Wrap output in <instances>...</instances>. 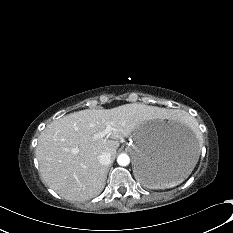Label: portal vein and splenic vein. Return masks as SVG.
Returning <instances> with one entry per match:
<instances>
[{"instance_id":"portal-vein-and-splenic-vein-1","label":"portal vein and splenic vein","mask_w":233,"mask_h":233,"mask_svg":"<svg viewBox=\"0 0 233 233\" xmlns=\"http://www.w3.org/2000/svg\"><path fill=\"white\" fill-rule=\"evenodd\" d=\"M114 129L110 126V125H107L105 130L99 132V133H96L94 135V138L95 139H101V138H104L105 136H107L110 132H112Z\"/></svg>"}]
</instances>
